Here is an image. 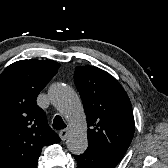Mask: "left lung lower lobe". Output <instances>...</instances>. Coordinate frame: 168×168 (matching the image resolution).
I'll return each mask as SVG.
<instances>
[{
  "label": "left lung lower lobe",
  "instance_id": "1",
  "mask_svg": "<svg viewBox=\"0 0 168 168\" xmlns=\"http://www.w3.org/2000/svg\"><path fill=\"white\" fill-rule=\"evenodd\" d=\"M74 157L78 168H115L118 164L116 160L90 149Z\"/></svg>",
  "mask_w": 168,
  "mask_h": 168
}]
</instances>
